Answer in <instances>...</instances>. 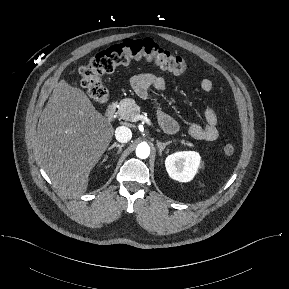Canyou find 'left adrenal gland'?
<instances>
[{
  "mask_svg": "<svg viewBox=\"0 0 289 289\" xmlns=\"http://www.w3.org/2000/svg\"><path fill=\"white\" fill-rule=\"evenodd\" d=\"M171 142H159L157 141V146L159 148V155L161 156L162 155V152L164 151V149L166 148V146H168Z\"/></svg>",
  "mask_w": 289,
  "mask_h": 289,
  "instance_id": "a2214340",
  "label": "left adrenal gland"
}]
</instances>
